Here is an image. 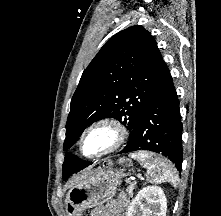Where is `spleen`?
Masks as SVG:
<instances>
[{
	"instance_id": "1",
	"label": "spleen",
	"mask_w": 221,
	"mask_h": 216,
	"mask_svg": "<svg viewBox=\"0 0 221 216\" xmlns=\"http://www.w3.org/2000/svg\"><path fill=\"white\" fill-rule=\"evenodd\" d=\"M131 157L147 169L146 178L150 183L170 182L174 187L177 185L178 178L175 169L162 157L146 151L133 153Z\"/></svg>"
}]
</instances>
